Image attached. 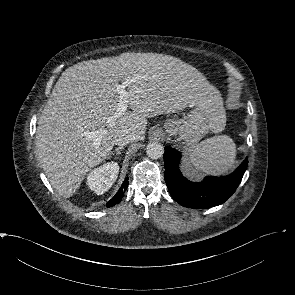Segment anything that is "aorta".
<instances>
[{
  "label": "aorta",
  "mask_w": 295,
  "mask_h": 295,
  "mask_svg": "<svg viewBox=\"0 0 295 295\" xmlns=\"http://www.w3.org/2000/svg\"><path fill=\"white\" fill-rule=\"evenodd\" d=\"M146 153L151 159L161 158L164 154V146L157 141H151L147 145Z\"/></svg>",
  "instance_id": "aorta-1"
}]
</instances>
